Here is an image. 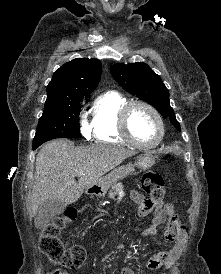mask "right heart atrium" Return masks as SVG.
I'll return each mask as SVG.
<instances>
[{
  "label": "right heart atrium",
  "instance_id": "right-heart-atrium-1",
  "mask_svg": "<svg viewBox=\"0 0 221 274\" xmlns=\"http://www.w3.org/2000/svg\"><path fill=\"white\" fill-rule=\"evenodd\" d=\"M80 127L82 135L86 139H90L92 134L91 124L86 119H82Z\"/></svg>",
  "mask_w": 221,
  "mask_h": 274
}]
</instances>
